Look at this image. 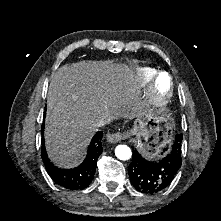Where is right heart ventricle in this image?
<instances>
[{
	"label": "right heart ventricle",
	"mask_w": 221,
	"mask_h": 221,
	"mask_svg": "<svg viewBox=\"0 0 221 221\" xmlns=\"http://www.w3.org/2000/svg\"><path fill=\"white\" fill-rule=\"evenodd\" d=\"M153 74H154V73H153L152 70L145 71V73H144V79L147 80V81H149V80L152 78Z\"/></svg>",
	"instance_id": "1"
}]
</instances>
